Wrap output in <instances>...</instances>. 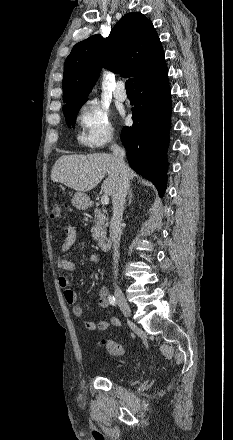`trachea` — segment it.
Instances as JSON below:
<instances>
[{
  "instance_id": "1",
  "label": "trachea",
  "mask_w": 233,
  "mask_h": 440,
  "mask_svg": "<svg viewBox=\"0 0 233 440\" xmlns=\"http://www.w3.org/2000/svg\"><path fill=\"white\" fill-rule=\"evenodd\" d=\"M126 91L129 92H134V87H133V79L130 78L126 81Z\"/></svg>"
}]
</instances>
